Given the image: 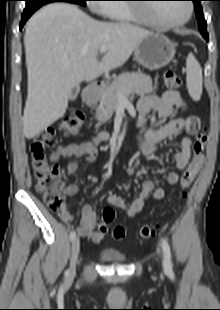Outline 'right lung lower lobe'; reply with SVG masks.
I'll return each instance as SVG.
<instances>
[{
    "instance_id": "obj_1",
    "label": "right lung lower lobe",
    "mask_w": 220,
    "mask_h": 310,
    "mask_svg": "<svg viewBox=\"0 0 220 310\" xmlns=\"http://www.w3.org/2000/svg\"><path fill=\"white\" fill-rule=\"evenodd\" d=\"M59 1H64V0H59ZM68 2V1H66ZM41 6L39 7H34V8H25L24 12L22 14V19H21V23H20V30L22 29L23 25L25 24V22L28 20V18L37 10L39 9Z\"/></svg>"
}]
</instances>
